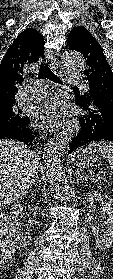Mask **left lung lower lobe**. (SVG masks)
I'll return each mask as SVG.
<instances>
[{"instance_id":"left-lung-lower-lobe-1","label":"left lung lower lobe","mask_w":113,"mask_h":279,"mask_svg":"<svg viewBox=\"0 0 113 279\" xmlns=\"http://www.w3.org/2000/svg\"><path fill=\"white\" fill-rule=\"evenodd\" d=\"M76 96V103L83 108L81 130L73 139L70 150L99 141H113V99L94 92L91 102Z\"/></svg>"}]
</instances>
